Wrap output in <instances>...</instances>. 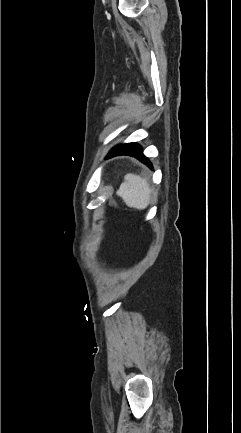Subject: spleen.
<instances>
[{
	"instance_id": "spleen-1",
	"label": "spleen",
	"mask_w": 241,
	"mask_h": 433,
	"mask_svg": "<svg viewBox=\"0 0 241 433\" xmlns=\"http://www.w3.org/2000/svg\"><path fill=\"white\" fill-rule=\"evenodd\" d=\"M117 194L128 207L144 210L150 203L151 188L145 178L135 174H127Z\"/></svg>"
}]
</instances>
